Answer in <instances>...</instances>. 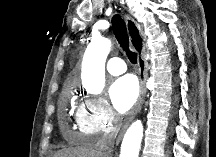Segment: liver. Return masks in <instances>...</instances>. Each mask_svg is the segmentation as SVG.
Instances as JSON below:
<instances>
[{
	"label": "liver",
	"mask_w": 216,
	"mask_h": 157,
	"mask_svg": "<svg viewBox=\"0 0 216 157\" xmlns=\"http://www.w3.org/2000/svg\"><path fill=\"white\" fill-rule=\"evenodd\" d=\"M55 157H98L95 147H76L65 149L55 154Z\"/></svg>",
	"instance_id": "1"
}]
</instances>
